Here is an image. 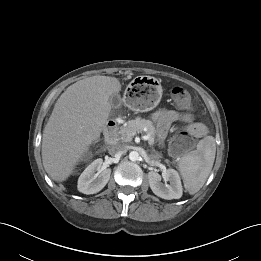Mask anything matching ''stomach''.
<instances>
[{
  "instance_id": "obj_1",
  "label": "stomach",
  "mask_w": 261,
  "mask_h": 261,
  "mask_svg": "<svg viewBox=\"0 0 261 261\" xmlns=\"http://www.w3.org/2000/svg\"><path fill=\"white\" fill-rule=\"evenodd\" d=\"M162 92V86L156 78L141 76L128 85L124 103L135 112H148L159 104Z\"/></svg>"
}]
</instances>
